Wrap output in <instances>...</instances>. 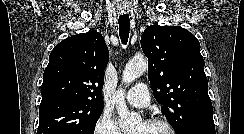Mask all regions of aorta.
<instances>
[{
    "mask_svg": "<svg viewBox=\"0 0 244 134\" xmlns=\"http://www.w3.org/2000/svg\"><path fill=\"white\" fill-rule=\"evenodd\" d=\"M148 63L143 57H134L130 60L123 71L122 82L125 85L130 84L139 78L147 69ZM116 104L119 126L122 129L133 128L141 119L137 113L129 112L125 102V90L120 88L113 96Z\"/></svg>",
    "mask_w": 244,
    "mask_h": 134,
    "instance_id": "obj_1",
    "label": "aorta"
}]
</instances>
